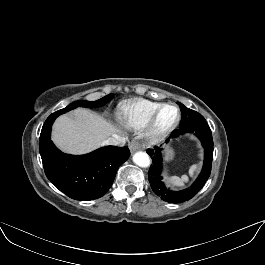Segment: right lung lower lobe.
<instances>
[{"label": "right lung lower lobe", "mask_w": 265, "mask_h": 265, "mask_svg": "<svg viewBox=\"0 0 265 265\" xmlns=\"http://www.w3.org/2000/svg\"><path fill=\"white\" fill-rule=\"evenodd\" d=\"M51 114L40 134V155L47 178L64 194L75 200L102 197L111 187L118 168L129 158L127 146H106L86 155L62 153L50 139L54 120Z\"/></svg>", "instance_id": "1"}]
</instances>
